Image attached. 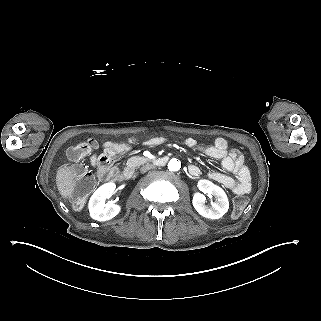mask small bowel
Segmentation results:
<instances>
[{
    "label": "small bowel",
    "mask_w": 321,
    "mask_h": 321,
    "mask_svg": "<svg viewBox=\"0 0 321 321\" xmlns=\"http://www.w3.org/2000/svg\"><path fill=\"white\" fill-rule=\"evenodd\" d=\"M135 141L136 139L131 137L126 141L105 142L100 155L92 157V163L96 166L98 176L104 178L112 176L115 172L112 167L113 162L127 153L131 144ZM163 142L162 137H152L145 143L149 146H157ZM185 144L190 148L198 149L212 159L220 161L222 169L233 175L229 176L218 171H211L208 173L210 179L222 184L236 194H245L251 190V175L248 167L244 164V158L238 150H230L226 140L218 138L213 145L204 146L198 145L193 138H187ZM189 173L197 177L200 174V169L196 165H190Z\"/></svg>",
    "instance_id": "small-bowel-1"
}]
</instances>
